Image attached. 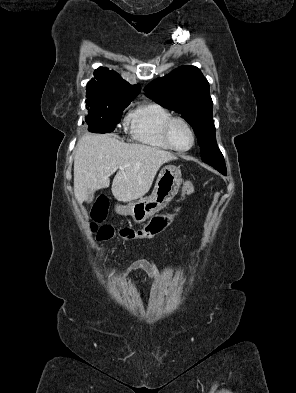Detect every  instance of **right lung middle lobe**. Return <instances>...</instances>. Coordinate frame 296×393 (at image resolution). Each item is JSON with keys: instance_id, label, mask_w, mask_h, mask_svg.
I'll return each mask as SVG.
<instances>
[{"instance_id": "dd1d6c3e", "label": "right lung middle lobe", "mask_w": 296, "mask_h": 393, "mask_svg": "<svg viewBox=\"0 0 296 393\" xmlns=\"http://www.w3.org/2000/svg\"><path fill=\"white\" fill-rule=\"evenodd\" d=\"M132 100H107V101H86L88 115L86 123L90 132L109 133L114 131L116 124L121 120L123 110Z\"/></svg>"}]
</instances>
